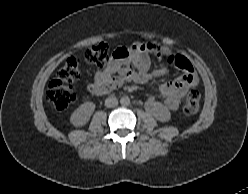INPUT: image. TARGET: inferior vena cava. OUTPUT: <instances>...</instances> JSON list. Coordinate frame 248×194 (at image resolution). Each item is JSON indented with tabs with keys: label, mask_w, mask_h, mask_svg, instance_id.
<instances>
[{
	"label": "inferior vena cava",
	"mask_w": 248,
	"mask_h": 194,
	"mask_svg": "<svg viewBox=\"0 0 248 194\" xmlns=\"http://www.w3.org/2000/svg\"><path fill=\"white\" fill-rule=\"evenodd\" d=\"M118 104V100L115 97H108L105 99V106L106 107H115Z\"/></svg>",
	"instance_id": "1"
}]
</instances>
